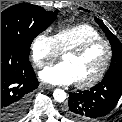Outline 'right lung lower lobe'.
<instances>
[{
  "mask_svg": "<svg viewBox=\"0 0 122 122\" xmlns=\"http://www.w3.org/2000/svg\"><path fill=\"white\" fill-rule=\"evenodd\" d=\"M39 83L29 55L1 44V122H16L28 107L29 93Z\"/></svg>",
  "mask_w": 122,
  "mask_h": 122,
  "instance_id": "obj_1",
  "label": "right lung lower lobe"
}]
</instances>
